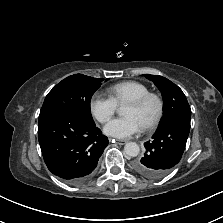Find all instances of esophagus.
<instances>
[{
    "instance_id": "1",
    "label": "esophagus",
    "mask_w": 223,
    "mask_h": 223,
    "mask_svg": "<svg viewBox=\"0 0 223 223\" xmlns=\"http://www.w3.org/2000/svg\"><path fill=\"white\" fill-rule=\"evenodd\" d=\"M111 140V139H110ZM112 142H116L119 145L125 144L127 141L126 140H121V139H112Z\"/></svg>"
}]
</instances>
